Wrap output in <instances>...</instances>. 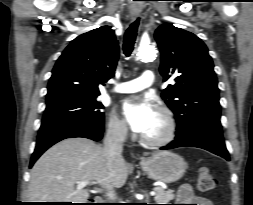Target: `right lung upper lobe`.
I'll list each match as a JSON object with an SVG mask.
<instances>
[{
  "mask_svg": "<svg viewBox=\"0 0 253 205\" xmlns=\"http://www.w3.org/2000/svg\"><path fill=\"white\" fill-rule=\"evenodd\" d=\"M118 57V41L110 26H101L78 36L53 68L46 101L75 95H99L98 85L114 75Z\"/></svg>",
  "mask_w": 253,
  "mask_h": 205,
  "instance_id": "cb5924a9",
  "label": "right lung upper lobe"
}]
</instances>
